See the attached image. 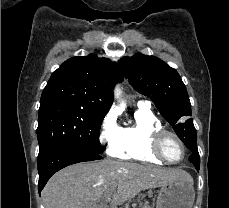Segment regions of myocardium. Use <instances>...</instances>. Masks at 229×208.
<instances>
[{
	"mask_svg": "<svg viewBox=\"0 0 229 208\" xmlns=\"http://www.w3.org/2000/svg\"><path fill=\"white\" fill-rule=\"evenodd\" d=\"M169 135L176 137L173 140L174 143H178L179 147L184 148V155L180 160H177V161L173 160L170 157H167V154L165 153V147H166L165 141H166L167 136ZM154 141L155 143L152 144L153 148H150L149 152L156 153L155 154L156 158H163L166 162L170 164H179V163H182L186 159L187 152H188L187 145L185 141L183 140V138L176 132L169 130V129H165V128L160 129L155 133Z\"/></svg>",
	"mask_w": 229,
	"mask_h": 208,
	"instance_id": "obj_1",
	"label": "myocardium"
}]
</instances>
